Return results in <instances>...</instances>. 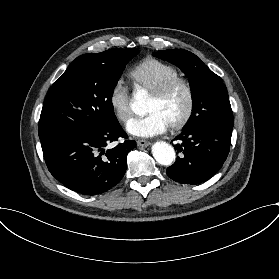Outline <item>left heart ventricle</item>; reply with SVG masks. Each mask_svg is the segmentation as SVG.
Listing matches in <instances>:
<instances>
[{"mask_svg":"<svg viewBox=\"0 0 279 279\" xmlns=\"http://www.w3.org/2000/svg\"><path fill=\"white\" fill-rule=\"evenodd\" d=\"M186 106V90L183 86H178L162 99H155L151 96L148 112L159 111L171 125L184 115Z\"/></svg>","mask_w":279,"mask_h":279,"instance_id":"1","label":"left heart ventricle"}]
</instances>
